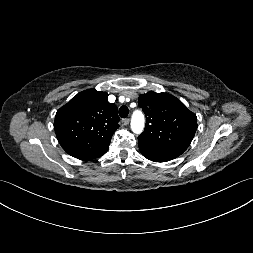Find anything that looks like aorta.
Here are the masks:
<instances>
[{"label": "aorta", "mask_w": 253, "mask_h": 253, "mask_svg": "<svg viewBox=\"0 0 253 253\" xmlns=\"http://www.w3.org/2000/svg\"><path fill=\"white\" fill-rule=\"evenodd\" d=\"M145 119L140 111H135L131 119V129L135 134H140L144 129Z\"/></svg>", "instance_id": "aorta-1"}]
</instances>
